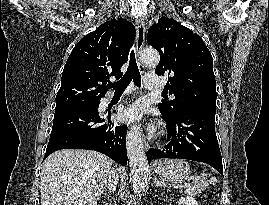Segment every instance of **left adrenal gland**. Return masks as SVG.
<instances>
[{
  "label": "left adrenal gland",
  "instance_id": "obj_1",
  "mask_svg": "<svg viewBox=\"0 0 269 205\" xmlns=\"http://www.w3.org/2000/svg\"><path fill=\"white\" fill-rule=\"evenodd\" d=\"M154 181H155V186L156 187H159V186L160 187H165L166 186V184L164 182H162V181H159L157 177L154 178Z\"/></svg>",
  "mask_w": 269,
  "mask_h": 205
}]
</instances>
